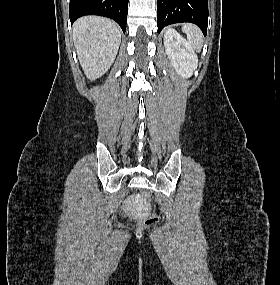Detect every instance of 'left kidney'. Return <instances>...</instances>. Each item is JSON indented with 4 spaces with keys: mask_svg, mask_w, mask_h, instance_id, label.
Returning a JSON list of instances; mask_svg holds the SVG:
<instances>
[{
    "mask_svg": "<svg viewBox=\"0 0 280 285\" xmlns=\"http://www.w3.org/2000/svg\"><path fill=\"white\" fill-rule=\"evenodd\" d=\"M164 46L176 72L182 77H190L198 65V57L191 45L176 30L168 28L164 34Z\"/></svg>",
    "mask_w": 280,
    "mask_h": 285,
    "instance_id": "1",
    "label": "left kidney"
}]
</instances>
